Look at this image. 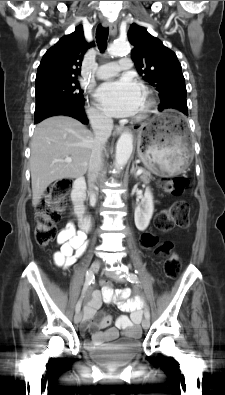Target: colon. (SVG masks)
Masks as SVG:
<instances>
[{"mask_svg": "<svg viewBox=\"0 0 225 395\" xmlns=\"http://www.w3.org/2000/svg\"><path fill=\"white\" fill-rule=\"evenodd\" d=\"M189 184L187 177L178 175L165 177L160 182L164 192L172 196H180ZM72 187L68 178L52 183L43 194L36 213L35 239L40 247L51 244L57 236L56 222L60 219L65 206V197ZM189 224V205L180 200L171 207L161 211L156 218V228L163 233L175 228H186ZM142 244L145 248H152L157 244V237L153 234H144ZM172 245L166 242L158 247L157 253L166 257L164 262L165 279L176 278L181 269V261L176 253L171 252ZM101 285L109 286L110 278H101ZM164 285V282L162 283Z\"/></svg>", "mask_w": 225, "mask_h": 395, "instance_id": "1", "label": "colon"}]
</instances>
